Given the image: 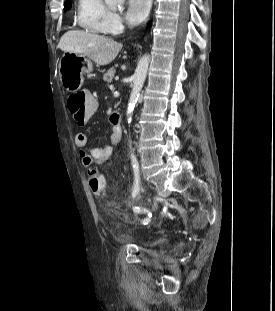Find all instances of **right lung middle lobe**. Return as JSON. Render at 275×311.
<instances>
[{
  "instance_id": "obj_1",
  "label": "right lung middle lobe",
  "mask_w": 275,
  "mask_h": 311,
  "mask_svg": "<svg viewBox=\"0 0 275 311\" xmlns=\"http://www.w3.org/2000/svg\"><path fill=\"white\" fill-rule=\"evenodd\" d=\"M70 6H71V3L70 1H68L66 5L64 6V10L67 11L70 8Z\"/></svg>"
}]
</instances>
